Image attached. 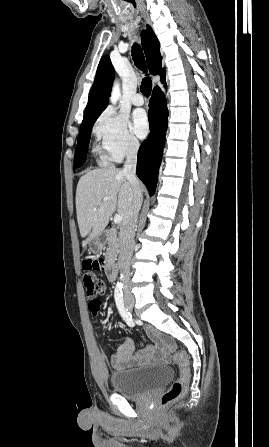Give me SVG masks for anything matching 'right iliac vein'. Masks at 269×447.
Instances as JSON below:
<instances>
[{
    "label": "right iliac vein",
    "mask_w": 269,
    "mask_h": 447,
    "mask_svg": "<svg viewBox=\"0 0 269 447\" xmlns=\"http://www.w3.org/2000/svg\"><path fill=\"white\" fill-rule=\"evenodd\" d=\"M126 306H128L129 308H132L133 307V303H127L126 302Z\"/></svg>",
    "instance_id": "obj_1"
}]
</instances>
